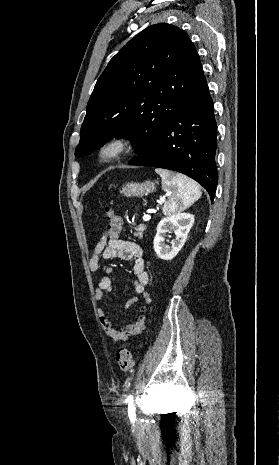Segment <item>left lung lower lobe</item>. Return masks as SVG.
Masks as SVG:
<instances>
[{
	"mask_svg": "<svg viewBox=\"0 0 279 465\" xmlns=\"http://www.w3.org/2000/svg\"><path fill=\"white\" fill-rule=\"evenodd\" d=\"M216 148L213 101L201 66L174 119L155 143L130 164L183 173L200 183L213 201L218 181Z\"/></svg>",
	"mask_w": 279,
	"mask_h": 465,
	"instance_id": "left-lung-lower-lobe-1",
	"label": "left lung lower lobe"
}]
</instances>
